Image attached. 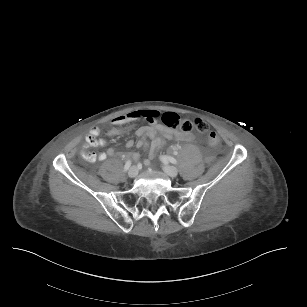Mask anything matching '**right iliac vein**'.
Masks as SVG:
<instances>
[{
	"label": "right iliac vein",
	"instance_id": "63e3f726",
	"mask_svg": "<svg viewBox=\"0 0 307 307\" xmlns=\"http://www.w3.org/2000/svg\"><path fill=\"white\" fill-rule=\"evenodd\" d=\"M138 175V168L136 166H133L128 171V176L130 178H135Z\"/></svg>",
	"mask_w": 307,
	"mask_h": 307
}]
</instances>
